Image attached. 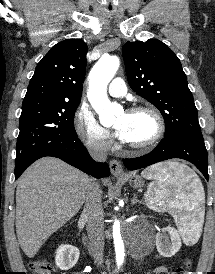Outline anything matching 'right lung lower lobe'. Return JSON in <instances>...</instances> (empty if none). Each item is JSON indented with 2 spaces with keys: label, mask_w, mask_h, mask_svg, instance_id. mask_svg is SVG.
I'll use <instances>...</instances> for the list:
<instances>
[{
  "label": "right lung lower lobe",
  "mask_w": 215,
  "mask_h": 274,
  "mask_svg": "<svg viewBox=\"0 0 215 274\" xmlns=\"http://www.w3.org/2000/svg\"><path fill=\"white\" fill-rule=\"evenodd\" d=\"M46 156L60 158L68 164L96 178L108 177L110 174L108 165L106 163H97L92 160L86 148L77 137L73 140H67L47 147L30 157L21 166L15 167V179L19 178L25 169L34 161Z\"/></svg>",
  "instance_id": "right-lung-lower-lobe-1"
}]
</instances>
